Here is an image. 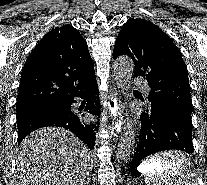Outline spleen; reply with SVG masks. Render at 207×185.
Here are the masks:
<instances>
[{
	"label": "spleen",
	"instance_id": "1",
	"mask_svg": "<svg viewBox=\"0 0 207 185\" xmlns=\"http://www.w3.org/2000/svg\"><path fill=\"white\" fill-rule=\"evenodd\" d=\"M178 156H181V151L154 153V158H145V163H156V167H164L162 174H147L146 183H151V185H195L199 172L195 170L193 158H178Z\"/></svg>",
	"mask_w": 207,
	"mask_h": 185
}]
</instances>
